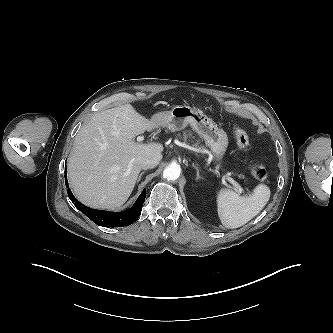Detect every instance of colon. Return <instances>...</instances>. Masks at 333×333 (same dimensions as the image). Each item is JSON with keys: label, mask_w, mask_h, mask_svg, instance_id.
Returning <instances> with one entry per match:
<instances>
[{"label": "colon", "mask_w": 333, "mask_h": 333, "mask_svg": "<svg viewBox=\"0 0 333 333\" xmlns=\"http://www.w3.org/2000/svg\"><path fill=\"white\" fill-rule=\"evenodd\" d=\"M233 131L238 147L243 151L248 150L250 141L245 130L239 126H234ZM251 173L253 177L259 181L265 180L268 176L266 168L260 164L254 165L251 169Z\"/></svg>", "instance_id": "colon-1"}]
</instances>
